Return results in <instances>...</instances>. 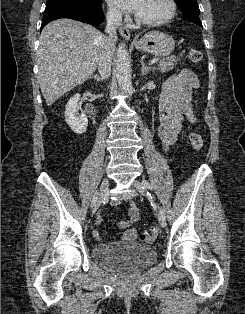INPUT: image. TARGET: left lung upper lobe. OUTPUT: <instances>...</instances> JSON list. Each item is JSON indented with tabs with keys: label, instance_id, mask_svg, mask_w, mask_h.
Segmentation results:
<instances>
[{
	"label": "left lung upper lobe",
	"instance_id": "5c2ea615",
	"mask_svg": "<svg viewBox=\"0 0 245 314\" xmlns=\"http://www.w3.org/2000/svg\"><path fill=\"white\" fill-rule=\"evenodd\" d=\"M182 11V18L202 26L199 18V6L197 0H174Z\"/></svg>",
	"mask_w": 245,
	"mask_h": 314
}]
</instances>
